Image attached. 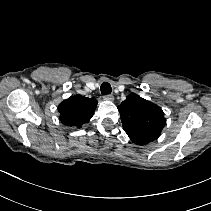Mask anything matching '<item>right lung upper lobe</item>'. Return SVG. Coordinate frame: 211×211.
Masks as SVG:
<instances>
[{
  "mask_svg": "<svg viewBox=\"0 0 211 211\" xmlns=\"http://www.w3.org/2000/svg\"><path fill=\"white\" fill-rule=\"evenodd\" d=\"M96 105L97 100L93 98L71 96L59 104V118L65 125L79 127L91 119Z\"/></svg>",
  "mask_w": 211,
  "mask_h": 211,
  "instance_id": "cb5924a9",
  "label": "right lung upper lobe"
}]
</instances>
